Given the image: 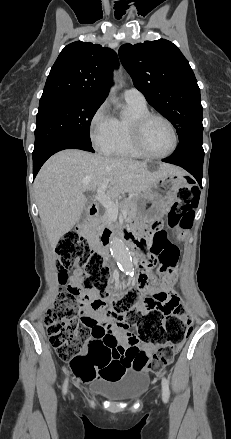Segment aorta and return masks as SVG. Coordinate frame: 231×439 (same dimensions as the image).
Listing matches in <instances>:
<instances>
[{
  "instance_id": "aorta-1",
  "label": "aorta",
  "mask_w": 231,
  "mask_h": 439,
  "mask_svg": "<svg viewBox=\"0 0 231 439\" xmlns=\"http://www.w3.org/2000/svg\"><path fill=\"white\" fill-rule=\"evenodd\" d=\"M114 87L111 92L114 91ZM110 249L112 256L117 261L119 267L126 273H131L133 271V263L131 254L126 247L125 243L116 235L112 237L110 242Z\"/></svg>"
}]
</instances>
